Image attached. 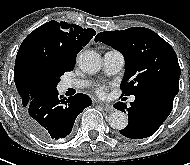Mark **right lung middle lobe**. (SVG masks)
<instances>
[{
    "mask_svg": "<svg viewBox=\"0 0 190 165\" xmlns=\"http://www.w3.org/2000/svg\"><path fill=\"white\" fill-rule=\"evenodd\" d=\"M73 66L45 54L35 55L29 65V79L34 93L56 89L60 77Z\"/></svg>",
    "mask_w": 190,
    "mask_h": 165,
    "instance_id": "obj_1",
    "label": "right lung middle lobe"
}]
</instances>
